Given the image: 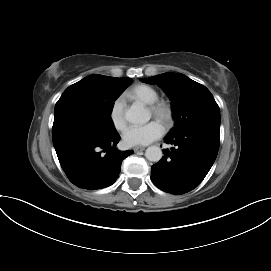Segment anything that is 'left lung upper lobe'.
I'll use <instances>...</instances> for the list:
<instances>
[{
	"instance_id": "5c2ea615",
	"label": "left lung upper lobe",
	"mask_w": 271,
	"mask_h": 271,
	"mask_svg": "<svg viewBox=\"0 0 271 271\" xmlns=\"http://www.w3.org/2000/svg\"><path fill=\"white\" fill-rule=\"evenodd\" d=\"M141 81L157 84L171 99L175 127L168 135L200 126L220 127V109L205 86L181 73H164Z\"/></svg>"
}]
</instances>
